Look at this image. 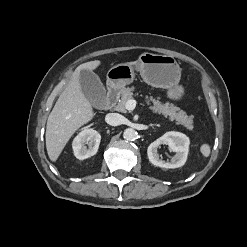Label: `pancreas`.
<instances>
[{
    "label": "pancreas",
    "mask_w": 247,
    "mask_h": 247,
    "mask_svg": "<svg viewBox=\"0 0 247 247\" xmlns=\"http://www.w3.org/2000/svg\"><path fill=\"white\" fill-rule=\"evenodd\" d=\"M135 87H127L121 91V99L118 104L115 106V110L119 112H126L125 104L128 100L133 99ZM152 102L151 110L155 113L161 114L164 117H169L171 121L176 120L177 124L185 126L188 130H193V119L191 116H188L186 112L180 110V108L174 106L170 103H162L159 98L154 99L151 97H146V103L150 104Z\"/></svg>",
    "instance_id": "cf45deb5"
}]
</instances>
